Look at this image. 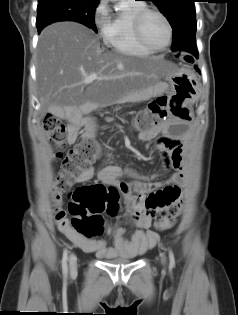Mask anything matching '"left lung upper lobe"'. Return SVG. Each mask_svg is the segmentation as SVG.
<instances>
[{
  "mask_svg": "<svg viewBox=\"0 0 238 315\" xmlns=\"http://www.w3.org/2000/svg\"><path fill=\"white\" fill-rule=\"evenodd\" d=\"M165 14L172 29L173 40L195 42L196 14L194 0H150ZM174 43V42H173Z\"/></svg>",
  "mask_w": 238,
  "mask_h": 315,
  "instance_id": "left-lung-upper-lobe-1",
  "label": "left lung upper lobe"
}]
</instances>
